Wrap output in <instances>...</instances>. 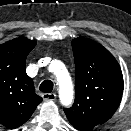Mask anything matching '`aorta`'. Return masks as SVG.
Returning a JSON list of instances; mask_svg holds the SVG:
<instances>
[{
	"instance_id": "762f6f07",
	"label": "aorta",
	"mask_w": 131,
	"mask_h": 131,
	"mask_svg": "<svg viewBox=\"0 0 131 131\" xmlns=\"http://www.w3.org/2000/svg\"><path fill=\"white\" fill-rule=\"evenodd\" d=\"M55 74L59 85V98L62 105H69L73 100V86L69 73L60 62H55Z\"/></svg>"
}]
</instances>
